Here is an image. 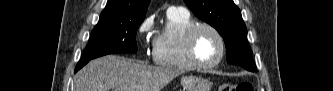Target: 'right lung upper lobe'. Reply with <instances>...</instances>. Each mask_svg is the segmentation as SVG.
Masks as SVG:
<instances>
[{"instance_id": "cb5924a9", "label": "right lung upper lobe", "mask_w": 333, "mask_h": 91, "mask_svg": "<svg viewBox=\"0 0 333 91\" xmlns=\"http://www.w3.org/2000/svg\"><path fill=\"white\" fill-rule=\"evenodd\" d=\"M150 0H108L100 18L145 17Z\"/></svg>"}]
</instances>
